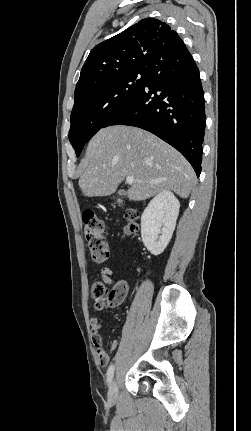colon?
Here are the masks:
<instances>
[{
    "mask_svg": "<svg viewBox=\"0 0 251 431\" xmlns=\"http://www.w3.org/2000/svg\"><path fill=\"white\" fill-rule=\"evenodd\" d=\"M125 218L128 221L125 227L126 232L133 233L137 228L134 221L138 218V212L134 209H129L125 213ZM82 221L83 236L91 259L97 264L106 262L109 257V250L105 238L106 225L104 221L93 212H85ZM125 295L126 286L122 283L111 290L106 289L100 282H96L92 286V296L101 305L109 307L117 306L123 301ZM117 342L116 339L113 340L111 344L112 351L118 350Z\"/></svg>",
    "mask_w": 251,
    "mask_h": 431,
    "instance_id": "1",
    "label": "colon"
}]
</instances>
